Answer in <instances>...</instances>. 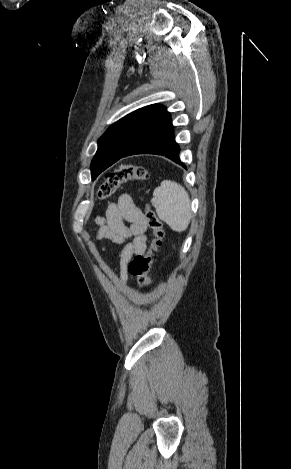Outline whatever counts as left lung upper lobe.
<instances>
[{
  "label": "left lung upper lobe",
  "instance_id": "left-lung-upper-lobe-1",
  "mask_svg": "<svg viewBox=\"0 0 291 469\" xmlns=\"http://www.w3.org/2000/svg\"><path fill=\"white\" fill-rule=\"evenodd\" d=\"M169 118L170 113L164 106L153 104L140 108L111 125L98 140V150L91 162L92 179Z\"/></svg>",
  "mask_w": 291,
  "mask_h": 469
}]
</instances>
